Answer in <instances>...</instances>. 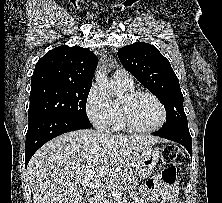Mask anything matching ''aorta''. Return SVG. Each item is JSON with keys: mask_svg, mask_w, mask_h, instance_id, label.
<instances>
[{"mask_svg": "<svg viewBox=\"0 0 222 203\" xmlns=\"http://www.w3.org/2000/svg\"><path fill=\"white\" fill-rule=\"evenodd\" d=\"M96 82L98 83V86L100 87V89L103 93L110 95V96H114V95L118 94V88L114 82L109 80V78L107 76L106 69H103L101 67L97 71Z\"/></svg>", "mask_w": 222, "mask_h": 203, "instance_id": "1", "label": "aorta"}]
</instances>
